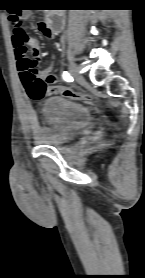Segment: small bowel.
I'll return each mask as SVG.
<instances>
[{
  "mask_svg": "<svg viewBox=\"0 0 145 278\" xmlns=\"http://www.w3.org/2000/svg\"><path fill=\"white\" fill-rule=\"evenodd\" d=\"M22 16L25 20H28L31 14L29 11H24ZM38 29L47 39H53L55 36V33L47 28L44 22L39 23ZM13 41L15 50L24 48L26 53L28 50H31L35 57L40 58V42L37 39L31 37V43L25 47L18 44L15 38ZM16 69L18 72L19 81L26 95L32 100L38 101L41 100L45 95L50 94H60L68 98H77V96L65 94L64 90L66 88L54 85L56 82V77L51 70L41 71L37 74L36 61L28 58L26 54L24 57H19L16 54ZM31 92H33L35 95L32 96ZM28 124L32 131H36L39 128L38 120L33 114L28 119Z\"/></svg>",
  "mask_w": 145,
  "mask_h": 278,
  "instance_id": "small-bowel-1",
  "label": "small bowel"
}]
</instances>
